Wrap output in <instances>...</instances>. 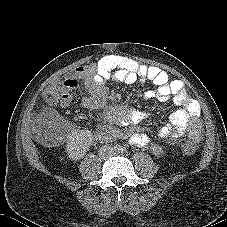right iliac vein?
I'll use <instances>...</instances> for the list:
<instances>
[{
    "mask_svg": "<svg viewBox=\"0 0 227 227\" xmlns=\"http://www.w3.org/2000/svg\"><path fill=\"white\" fill-rule=\"evenodd\" d=\"M107 155V151H103L102 153H101V156L102 157H105Z\"/></svg>",
    "mask_w": 227,
    "mask_h": 227,
    "instance_id": "right-iliac-vein-1",
    "label": "right iliac vein"
}]
</instances>
